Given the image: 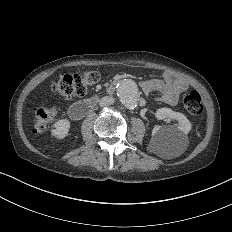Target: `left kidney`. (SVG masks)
<instances>
[{
	"label": "left kidney",
	"instance_id": "1",
	"mask_svg": "<svg viewBox=\"0 0 232 232\" xmlns=\"http://www.w3.org/2000/svg\"><path fill=\"white\" fill-rule=\"evenodd\" d=\"M155 116L159 120H177L178 125L165 127L155 125L152 130L150 147L163 150L166 153L184 150L188 145L187 134L191 130V123L186 116L182 113L174 112L170 108L158 109Z\"/></svg>",
	"mask_w": 232,
	"mask_h": 232
}]
</instances>
